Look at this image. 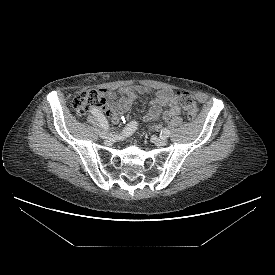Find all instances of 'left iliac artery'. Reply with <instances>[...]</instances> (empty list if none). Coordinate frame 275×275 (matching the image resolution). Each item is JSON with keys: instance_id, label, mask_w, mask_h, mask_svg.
Returning <instances> with one entry per match:
<instances>
[{"instance_id": "44dca946", "label": "left iliac artery", "mask_w": 275, "mask_h": 275, "mask_svg": "<svg viewBox=\"0 0 275 275\" xmlns=\"http://www.w3.org/2000/svg\"><path fill=\"white\" fill-rule=\"evenodd\" d=\"M161 135H162L163 137H169V136H170V131H169L168 129H163V130L161 131Z\"/></svg>"}]
</instances>
